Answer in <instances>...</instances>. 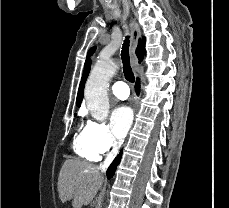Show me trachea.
Instances as JSON below:
<instances>
[{
  "mask_svg": "<svg viewBox=\"0 0 229 208\" xmlns=\"http://www.w3.org/2000/svg\"><path fill=\"white\" fill-rule=\"evenodd\" d=\"M121 58L123 63V73L130 83H134L135 77L130 66V59H129V37L127 36L124 40L122 51H121Z\"/></svg>",
  "mask_w": 229,
  "mask_h": 208,
  "instance_id": "trachea-1",
  "label": "trachea"
}]
</instances>
